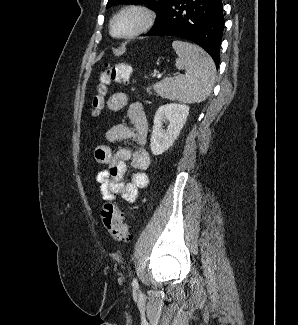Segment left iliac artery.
<instances>
[{
  "instance_id": "1",
  "label": "left iliac artery",
  "mask_w": 298,
  "mask_h": 325,
  "mask_svg": "<svg viewBox=\"0 0 298 325\" xmlns=\"http://www.w3.org/2000/svg\"><path fill=\"white\" fill-rule=\"evenodd\" d=\"M132 286L134 287V288H137L138 287V282H137V279H133V281H132Z\"/></svg>"
}]
</instances>
